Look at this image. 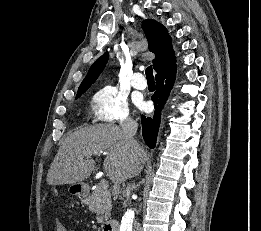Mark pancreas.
I'll return each instance as SVG.
<instances>
[{
	"mask_svg": "<svg viewBox=\"0 0 261 231\" xmlns=\"http://www.w3.org/2000/svg\"><path fill=\"white\" fill-rule=\"evenodd\" d=\"M89 210L97 215L98 223H103L111 216L112 200L111 193L102 189L99 185L92 189L91 195L86 199Z\"/></svg>",
	"mask_w": 261,
	"mask_h": 231,
	"instance_id": "1",
	"label": "pancreas"
}]
</instances>
